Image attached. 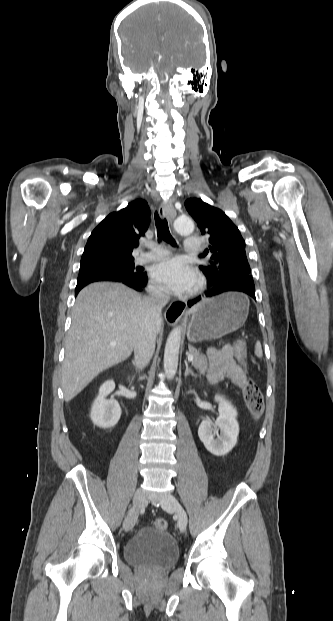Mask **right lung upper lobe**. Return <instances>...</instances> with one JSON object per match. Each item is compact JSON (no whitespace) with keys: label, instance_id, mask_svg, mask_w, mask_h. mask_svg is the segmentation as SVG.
Listing matches in <instances>:
<instances>
[{"label":"right lung upper lobe","instance_id":"obj_1","mask_svg":"<svg viewBox=\"0 0 333 621\" xmlns=\"http://www.w3.org/2000/svg\"><path fill=\"white\" fill-rule=\"evenodd\" d=\"M150 208L136 199L118 212L110 213L91 233L83 258L132 257L150 222Z\"/></svg>","mask_w":333,"mask_h":621}]
</instances>
